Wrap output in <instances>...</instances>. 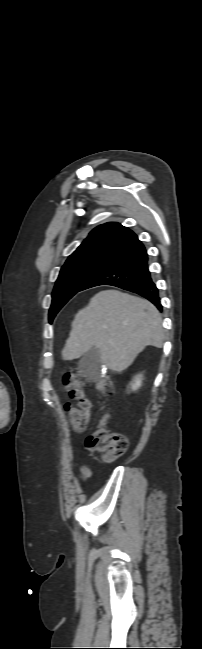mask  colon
Masks as SVG:
<instances>
[{
	"label": "colon",
	"mask_w": 202,
	"mask_h": 649,
	"mask_svg": "<svg viewBox=\"0 0 202 649\" xmlns=\"http://www.w3.org/2000/svg\"><path fill=\"white\" fill-rule=\"evenodd\" d=\"M64 385L71 397L77 401L76 406L67 404L65 410L73 427L83 431L90 419L91 402L85 394V379L75 369L68 370L64 375ZM96 390L102 395H110L113 391V380L110 376H102L95 382ZM106 416L98 427L88 436L87 447L99 454L105 461H114L128 449L129 441L126 435L110 432L105 428Z\"/></svg>",
	"instance_id": "5ec220e1"
}]
</instances>
